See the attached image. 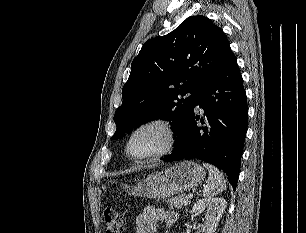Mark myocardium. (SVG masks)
I'll return each mask as SVG.
<instances>
[{"instance_id": "f54148a6", "label": "myocardium", "mask_w": 306, "mask_h": 233, "mask_svg": "<svg viewBox=\"0 0 306 233\" xmlns=\"http://www.w3.org/2000/svg\"><path fill=\"white\" fill-rule=\"evenodd\" d=\"M149 126H157L160 127L166 135V143L165 146L158 152L151 154V155H147V156H143V157H134L130 154L129 151V145L130 142L132 140V138L134 137V135L139 132L140 130L149 127ZM176 140H177V133L175 130V127L173 125V123L166 119V118H162V117H156V118H151L148 120H145L143 122H141L140 124H138L128 135L126 142H125V146H124V152L126 154V156L135 162H143V161H148V160H152V159H156V158H160L163 157L169 153H171L173 151V149L175 148L176 145Z\"/></svg>"}]
</instances>
